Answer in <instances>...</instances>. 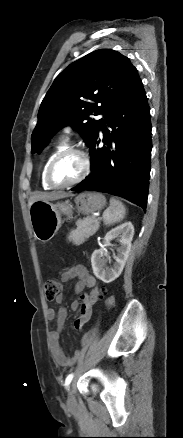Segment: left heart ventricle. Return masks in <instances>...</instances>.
Segmentation results:
<instances>
[{
  "instance_id": "1",
  "label": "left heart ventricle",
  "mask_w": 183,
  "mask_h": 438,
  "mask_svg": "<svg viewBox=\"0 0 183 438\" xmlns=\"http://www.w3.org/2000/svg\"><path fill=\"white\" fill-rule=\"evenodd\" d=\"M82 167L80 156L75 154L64 156L56 162L52 170V180L57 184L69 183L79 176Z\"/></svg>"
}]
</instances>
